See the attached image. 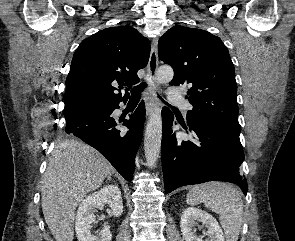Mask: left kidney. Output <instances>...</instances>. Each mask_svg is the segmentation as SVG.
Masks as SVG:
<instances>
[{
    "label": "left kidney",
    "instance_id": "1",
    "mask_svg": "<svg viewBox=\"0 0 295 241\" xmlns=\"http://www.w3.org/2000/svg\"><path fill=\"white\" fill-rule=\"evenodd\" d=\"M201 222L207 228L205 241H225L217 220L207 212L198 208H186L181 215V233L185 241H204L203 236L195 235V225Z\"/></svg>",
    "mask_w": 295,
    "mask_h": 241
}]
</instances>
